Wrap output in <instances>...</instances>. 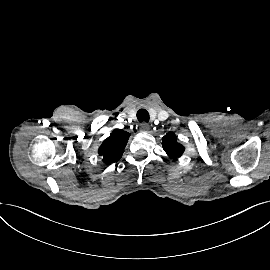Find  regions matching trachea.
Instances as JSON below:
<instances>
[{
	"mask_svg": "<svg viewBox=\"0 0 270 270\" xmlns=\"http://www.w3.org/2000/svg\"><path fill=\"white\" fill-rule=\"evenodd\" d=\"M137 119L139 122H148L149 121V113L145 109H139L137 112Z\"/></svg>",
	"mask_w": 270,
	"mask_h": 270,
	"instance_id": "3493384b",
	"label": "trachea"
}]
</instances>
